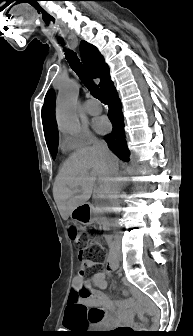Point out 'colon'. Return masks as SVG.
Returning a JSON list of instances; mask_svg holds the SVG:
<instances>
[{"label": "colon", "instance_id": "colon-1", "mask_svg": "<svg viewBox=\"0 0 193 336\" xmlns=\"http://www.w3.org/2000/svg\"><path fill=\"white\" fill-rule=\"evenodd\" d=\"M67 234L69 238L76 243L79 250V257L84 262L98 261L102 257V248L95 237H91L88 242H84L80 238L79 229L74 224L67 226ZM83 296H89L90 291L84 290ZM147 332H139L138 336H147Z\"/></svg>", "mask_w": 193, "mask_h": 336}]
</instances>
